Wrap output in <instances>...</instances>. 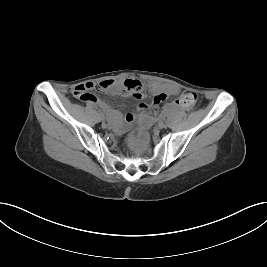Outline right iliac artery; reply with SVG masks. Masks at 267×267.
<instances>
[{"label":"right iliac artery","instance_id":"right-iliac-artery-1","mask_svg":"<svg viewBox=\"0 0 267 267\" xmlns=\"http://www.w3.org/2000/svg\"><path fill=\"white\" fill-rule=\"evenodd\" d=\"M97 113H98L99 115H103V112H102L100 109L97 110Z\"/></svg>","mask_w":267,"mask_h":267}]
</instances>
